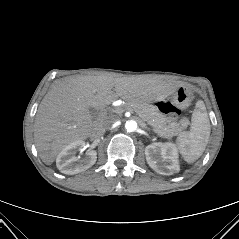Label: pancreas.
<instances>
[{
	"label": "pancreas",
	"instance_id": "cf45deb5",
	"mask_svg": "<svg viewBox=\"0 0 239 239\" xmlns=\"http://www.w3.org/2000/svg\"><path fill=\"white\" fill-rule=\"evenodd\" d=\"M126 109L133 110L140 118L147 122L153 131L160 137L172 138L186 129L188 120L181 119L179 122L171 121L165 117L158 109L148 103L128 102Z\"/></svg>",
	"mask_w": 239,
	"mask_h": 239
}]
</instances>
